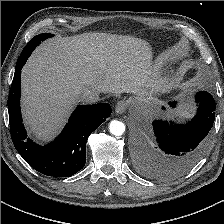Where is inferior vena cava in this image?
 I'll list each match as a JSON object with an SVG mask.
<instances>
[{"label":"inferior vena cava","instance_id":"1","mask_svg":"<svg viewBox=\"0 0 224 224\" xmlns=\"http://www.w3.org/2000/svg\"><path fill=\"white\" fill-rule=\"evenodd\" d=\"M79 100L86 104L95 103L99 100V93L90 90L84 91L80 94Z\"/></svg>","mask_w":224,"mask_h":224}]
</instances>
